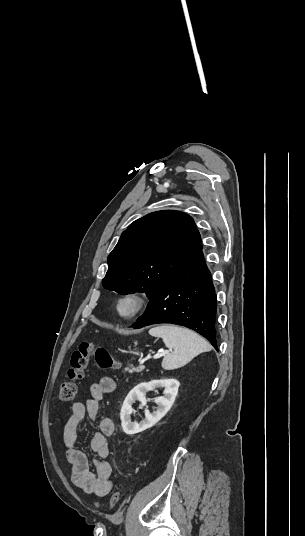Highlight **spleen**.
<instances>
[{
  "label": "spleen",
  "instance_id": "spleen-1",
  "mask_svg": "<svg viewBox=\"0 0 305 536\" xmlns=\"http://www.w3.org/2000/svg\"><path fill=\"white\" fill-rule=\"evenodd\" d=\"M150 336L162 338L166 348H173L174 352L166 354L163 358V370H177L189 364L193 358L202 352H210L211 346L199 334L179 328L173 324H157L156 328L149 330Z\"/></svg>",
  "mask_w": 305,
  "mask_h": 536
}]
</instances>
